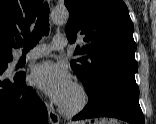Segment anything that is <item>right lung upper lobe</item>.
Segmentation results:
<instances>
[{
    "mask_svg": "<svg viewBox=\"0 0 156 124\" xmlns=\"http://www.w3.org/2000/svg\"><path fill=\"white\" fill-rule=\"evenodd\" d=\"M42 1L0 0V60L13 58L15 40L30 33Z\"/></svg>",
    "mask_w": 156,
    "mask_h": 124,
    "instance_id": "obj_1",
    "label": "right lung upper lobe"
}]
</instances>
